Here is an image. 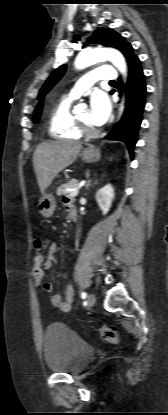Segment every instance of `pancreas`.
<instances>
[{"mask_svg": "<svg viewBox=\"0 0 168 415\" xmlns=\"http://www.w3.org/2000/svg\"><path fill=\"white\" fill-rule=\"evenodd\" d=\"M79 185V181L78 180H71L67 183H63L59 186V188H57V195L61 196V195H70L72 191H67V188H71L74 189Z\"/></svg>", "mask_w": 168, "mask_h": 415, "instance_id": "1", "label": "pancreas"}]
</instances>
